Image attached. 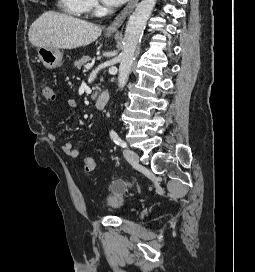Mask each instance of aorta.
Segmentation results:
<instances>
[{"mask_svg":"<svg viewBox=\"0 0 255 272\" xmlns=\"http://www.w3.org/2000/svg\"><path fill=\"white\" fill-rule=\"evenodd\" d=\"M156 4V0H141L129 17L123 40V51L119 59L118 87L122 89L129 78L135 60L136 50L141 42L146 23Z\"/></svg>","mask_w":255,"mask_h":272,"instance_id":"1","label":"aorta"}]
</instances>
